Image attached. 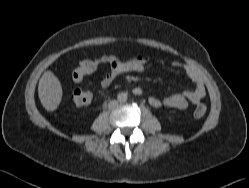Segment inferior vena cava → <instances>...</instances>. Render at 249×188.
<instances>
[{"instance_id":"inferior-vena-cava-1","label":"inferior vena cava","mask_w":249,"mask_h":188,"mask_svg":"<svg viewBox=\"0 0 249 188\" xmlns=\"http://www.w3.org/2000/svg\"><path fill=\"white\" fill-rule=\"evenodd\" d=\"M117 105H118V101H117V100H111V101H109V103H108V107H109L110 109L116 107Z\"/></svg>"}]
</instances>
